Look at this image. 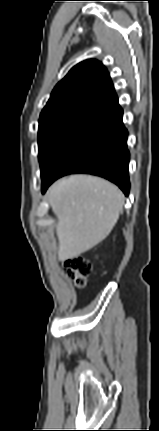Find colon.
Returning a JSON list of instances; mask_svg holds the SVG:
<instances>
[{
	"instance_id": "5ec220e1",
	"label": "colon",
	"mask_w": 159,
	"mask_h": 431,
	"mask_svg": "<svg viewBox=\"0 0 159 431\" xmlns=\"http://www.w3.org/2000/svg\"><path fill=\"white\" fill-rule=\"evenodd\" d=\"M64 271L65 275L71 279L77 287L83 288L86 285V278L91 272V264L82 256H73L65 261Z\"/></svg>"
}]
</instances>
